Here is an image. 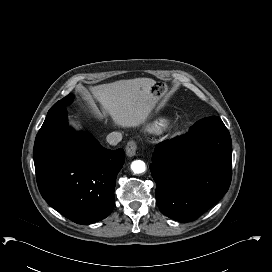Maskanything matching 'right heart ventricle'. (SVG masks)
<instances>
[{
	"mask_svg": "<svg viewBox=\"0 0 272 272\" xmlns=\"http://www.w3.org/2000/svg\"><path fill=\"white\" fill-rule=\"evenodd\" d=\"M165 126L164 123H156L152 126V129H155V130H158V129H161Z\"/></svg>",
	"mask_w": 272,
	"mask_h": 272,
	"instance_id": "e07e8e85",
	"label": "right heart ventricle"
}]
</instances>
